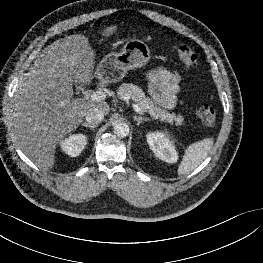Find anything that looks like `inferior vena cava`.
<instances>
[{
	"instance_id": "602c4592",
	"label": "inferior vena cava",
	"mask_w": 263,
	"mask_h": 263,
	"mask_svg": "<svg viewBox=\"0 0 263 263\" xmlns=\"http://www.w3.org/2000/svg\"><path fill=\"white\" fill-rule=\"evenodd\" d=\"M86 121L89 124L97 125L104 119V112L98 107H93L86 112Z\"/></svg>"
}]
</instances>
